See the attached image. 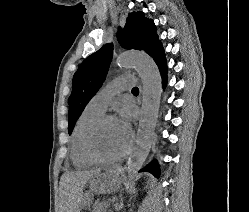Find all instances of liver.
I'll list each match as a JSON object with an SVG mask.
<instances>
[{
    "label": "liver",
    "mask_w": 249,
    "mask_h": 212,
    "mask_svg": "<svg viewBox=\"0 0 249 212\" xmlns=\"http://www.w3.org/2000/svg\"><path fill=\"white\" fill-rule=\"evenodd\" d=\"M100 172L101 170H92V172L65 174L68 192L67 212H80L84 200V188L92 178H97L93 188L97 194H112L121 188L122 180L125 178L123 168L105 170V174H100Z\"/></svg>",
    "instance_id": "1"
}]
</instances>
